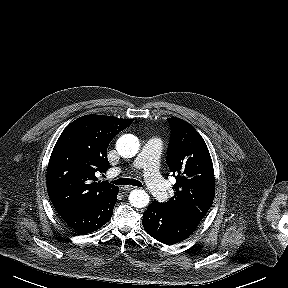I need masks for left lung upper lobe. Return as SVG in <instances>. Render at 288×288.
I'll use <instances>...</instances> for the list:
<instances>
[{
    "mask_svg": "<svg viewBox=\"0 0 288 288\" xmlns=\"http://www.w3.org/2000/svg\"><path fill=\"white\" fill-rule=\"evenodd\" d=\"M171 138L167 164L176 178L174 196L161 203L167 210L195 223L210 209L215 196L214 170L201 135L186 121L169 118Z\"/></svg>",
    "mask_w": 288,
    "mask_h": 288,
    "instance_id": "left-lung-upper-lobe-1",
    "label": "left lung upper lobe"
}]
</instances>
